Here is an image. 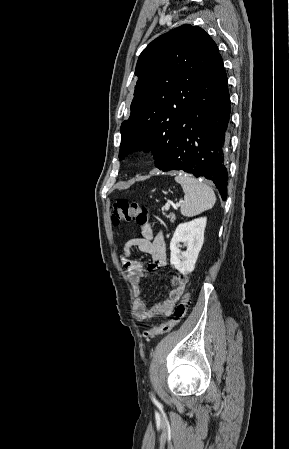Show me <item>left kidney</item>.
Wrapping results in <instances>:
<instances>
[{"instance_id": "1", "label": "left kidney", "mask_w": 289, "mask_h": 449, "mask_svg": "<svg viewBox=\"0 0 289 449\" xmlns=\"http://www.w3.org/2000/svg\"><path fill=\"white\" fill-rule=\"evenodd\" d=\"M207 218L201 217L177 226L170 242L171 265L182 274L191 273L194 270L199 252L204 242V231ZM181 243L187 249L182 252Z\"/></svg>"}]
</instances>
